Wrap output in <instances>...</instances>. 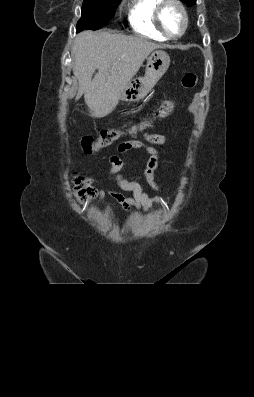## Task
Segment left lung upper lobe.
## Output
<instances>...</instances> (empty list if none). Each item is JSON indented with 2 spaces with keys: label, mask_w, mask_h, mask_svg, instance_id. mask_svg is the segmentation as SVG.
Returning a JSON list of instances; mask_svg holds the SVG:
<instances>
[{
  "label": "left lung upper lobe",
  "mask_w": 254,
  "mask_h": 397,
  "mask_svg": "<svg viewBox=\"0 0 254 397\" xmlns=\"http://www.w3.org/2000/svg\"><path fill=\"white\" fill-rule=\"evenodd\" d=\"M181 1L186 3L188 6H191L196 2V0H181Z\"/></svg>",
  "instance_id": "left-lung-upper-lobe-1"
}]
</instances>
